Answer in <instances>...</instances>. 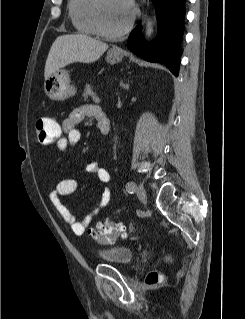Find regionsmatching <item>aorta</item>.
<instances>
[{
  "instance_id": "obj_1",
  "label": "aorta",
  "mask_w": 245,
  "mask_h": 319,
  "mask_svg": "<svg viewBox=\"0 0 245 319\" xmlns=\"http://www.w3.org/2000/svg\"><path fill=\"white\" fill-rule=\"evenodd\" d=\"M152 33H153V22L150 18H148L146 21V27H145V33H144L145 39L149 40Z\"/></svg>"
}]
</instances>
